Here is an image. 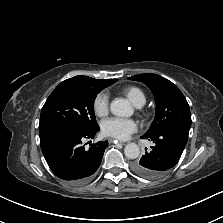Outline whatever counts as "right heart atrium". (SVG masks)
Segmentation results:
<instances>
[{
  "mask_svg": "<svg viewBox=\"0 0 223 223\" xmlns=\"http://www.w3.org/2000/svg\"><path fill=\"white\" fill-rule=\"evenodd\" d=\"M93 110L99 117L105 116L109 111V96L106 92H100L93 101Z\"/></svg>",
  "mask_w": 223,
  "mask_h": 223,
  "instance_id": "1",
  "label": "right heart atrium"
}]
</instances>
